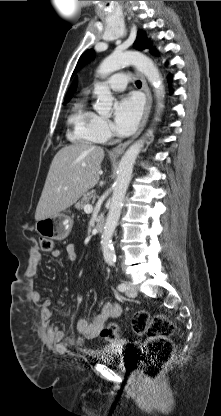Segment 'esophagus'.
Returning a JSON list of instances; mask_svg holds the SVG:
<instances>
[{
    "label": "esophagus",
    "instance_id": "34e87169",
    "mask_svg": "<svg viewBox=\"0 0 221 416\" xmlns=\"http://www.w3.org/2000/svg\"><path fill=\"white\" fill-rule=\"evenodd\" d=\"M137 75L141 79L142 89L146 94V105H145L144 115H143V118H142V121L140 123L138 131L129 140H127L123 143H120L119 145H117L115 148H113L111 150L110 154L114 157L120 156L125 151L127 146L131 142H133V140H135L141 134V132L143 131V129H144L146 123H147V120H148V117H149V114H150V110H151V106H152V95H151V92H150L149 87L147 85L145 77L142 74H140L139 72H137Z\"/></svg>",
    "mask_w": 221,
    "mask_h": 416
}]
</instances>
